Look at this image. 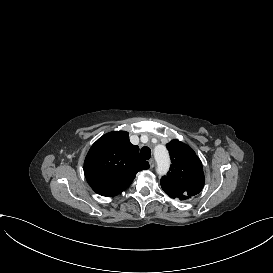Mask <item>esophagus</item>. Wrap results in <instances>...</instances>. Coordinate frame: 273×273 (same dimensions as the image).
<instances>
[{"label": "esophagus", "mask_w": 273, "mask_h": 273, "mask_svg": "<svg viewBox=\"0 0 273 273\" xmlns=\"http://www.w3.org/2000/svg\"><path fill=\"white\" fill-rule=\"evenodd\" d=\"M149 165H150V168H151V169L154 167V165H155V160H154L153 158H151V159L149 160Z\"/></svg>", "instance_id": "1"}]
</instances>
